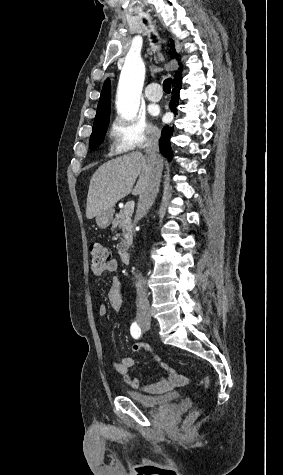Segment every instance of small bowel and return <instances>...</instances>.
Returning a JSON list of instances; mask_svg holds the SVG:
<instances>
[{"mask_svg":"<svg viewBox=\"0 0 283 475\" xmlns=\"http://www.w3.org/2000/svg\"><path fill=\"white\" fill-rule=\"evenodd\" d=\"M118 263L116 260H110L107 263L96 265L94 263L91 264L90 266V273L94 277H99L103 275L106 272H115L117 270ZM108 300L110 303V306L112 309L118 311L122 308L123 305V296H122V282L121 280L115 276L113 278L112 286L108 292ZM108 314V308L105 304H101L98 307V315L100 317H105ZM148 350L150 348L148 346H145ZM139 347L135 346L134 350H138ZM154 359L157 363L161 365L162 368L168 371L169 375L166 378H163L161 381H159V389L162 391H167L169 389L176 388L178 386H182L186 383V381L183 380V378L187 377L186 373H183L182 371H173L168 368L166 364H164L159 356L154 354ZM134 365V359L131 357H123L120 361H114L112 363L113 370L123 376L124 381L130 385L132 388L138 389L142 386L140 380L132 375L129 372V369Z\"/></svg>","mask_w":283,"mask_h":475,"instance_id":"small-bowel-1","label":"small bowel"}]
</instances>
